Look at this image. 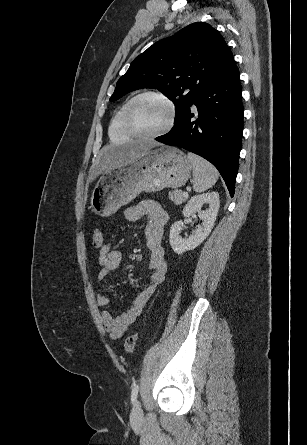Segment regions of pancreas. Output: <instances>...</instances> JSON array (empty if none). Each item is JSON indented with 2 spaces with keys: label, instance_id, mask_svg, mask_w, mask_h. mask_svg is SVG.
Masks as SVG:
<instances>
[{
  "label": "pancreas",
  "instance_id": "pancreas-1",
  "mask_svg": "<svg viewBox=\"0 0 307 445\" xmlns=\"http://www.w3.org/2000/svg\"><path fill=\"white\" fill-rule=\"evenodd\" d=\"M169 198H171L174 204H182V202L187 200L188 196H184L180 188H174L173 192H169Z\"/></svg>",
  "mask_w": 307,
  "mask_h": 445
}]
</instances>
